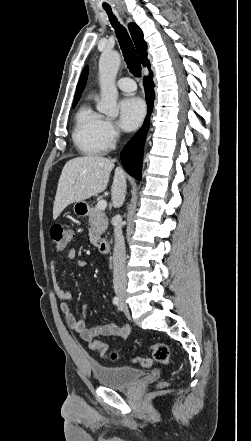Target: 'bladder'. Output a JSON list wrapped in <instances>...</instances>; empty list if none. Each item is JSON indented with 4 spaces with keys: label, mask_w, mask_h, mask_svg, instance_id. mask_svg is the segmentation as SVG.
I'll list each match as a JSON object with an SVG mask.
<instances>
[{
    "label": "bladder",
    "mask_w": 251,
    "mask_h": 441,
    "mask_svg": "<svg viewBox=\"0 0 251 441\" xmlns=\"http://www.w3.org/2000/svg\"><path fill=\"white\" fill-rule=\"evenodd\" d=\"M91 371L98 383L114 389H125L145 375L142 369L129 366L92 364Z\"/></svg>",
    "instance_id": "bladder-1"
}]
</instances>
